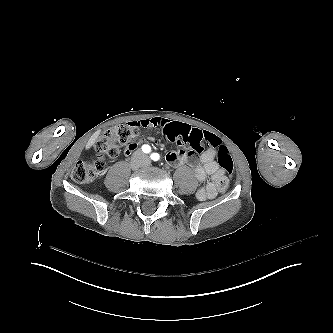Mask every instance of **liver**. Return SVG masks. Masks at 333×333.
Returning <instances> with one entry per match:
<instances>
[{
    "mask_svg": "<svg viewBox=\"0 0 333 333\" xmlns=\"http://www.w3.org/2000/svg\"><path fill=\"white\" fill-rule=\"evenodd\" d=\"M101 130H97L96 132L93 133V135L90 137V139L88 140L85 148L88 150L90 149L96 142L98 136L100 135Z\"/></svg>",
    "mask_w": 333,
    "mask_h": 333,
    "instance_id": "obj_1",
    "label": "liver"
}]
</instances>
